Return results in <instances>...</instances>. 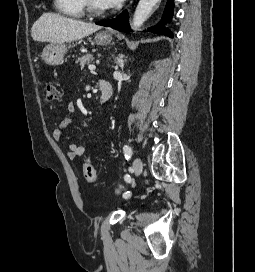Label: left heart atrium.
Masks as SVG:
<instances>
[{"instance_id":"obj_1","label":"left heart atrium","mask_w":255,"mask_h":272,"mask_svg":"<svg viewBox=\"0 0 255 272\" xmlns=\"http://www.w3.org/2000/svg\"><path fill=\"white\" fill-rule=\"evenodd\" d=\"M123 0H100L104 8H112L121 4Z\"/></svg>"}]
</instances>
